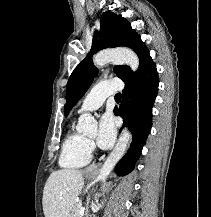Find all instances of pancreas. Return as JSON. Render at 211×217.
<instances>
[{
  "label": "pancreas",
  "instance_id": "pancreas-1",
  "mask_svg": "<svg viewBox=\"0 0 211 217\" xmlns=\"http://www.w3.org/2000/svg\"><path fill=\"white\" fill-rule=\"evenodd\" d=\"M79 212H80V206L78 204H76L73 207L72 213L70 214L69 217H81Z\"/></svg>",
  "mask_w": 211,
  "mask_h": 217
}]
</instances>
